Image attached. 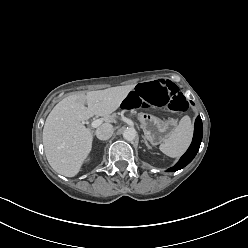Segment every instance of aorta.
Wrapping results in <instances>:
<instances>
[{"instance_id": "762f6f07", "label": "aorta", "mask_w": 248, "mask_h": 248, "mask_svg": "<svg viewBox=\"0 0 248 248\" xmlns=\"http://www.w3.org/2000/svg\"><path fill=\"white\" fill-rule=\"evenodd\" d=\"M137 132L134 128H126L123 132V137L127 141H133L136 138Z\"/></svg>"}]
</instances>
